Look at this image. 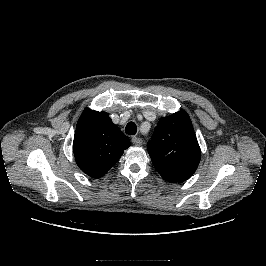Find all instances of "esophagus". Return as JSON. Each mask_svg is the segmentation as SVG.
Here are the masks:
<instances>
[{
    "label": "esophagus",
    "instance_id": "obj_1",
    "mask_svg": "<svg viewBox=\"0 0 266 266\" xmlns=\"http://www.w3.org/2000/svg\"><path fill=\"white\" fill-rule=\"evenodd\" d=\"M132 143L136 146H139L142 144V139L141 138H138L136 136H133L132 139H131Z\"/></svg>",
    "mask_w": 266,
    "mask_h": 266
}]
</instances>
